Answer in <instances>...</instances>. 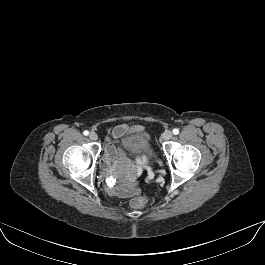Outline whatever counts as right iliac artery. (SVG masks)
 Listing matches in <instances>:
<instances>
[{
	"label": "right iliac artery",
	"mask_w": 265,
	"mask_h": 265,
	"mask_svg": "<svg viewBox=\"0 0 265 265\" xmlns=\"http://www.w3.org/2000/svg\"><path fill=\"white\" fill-rule=\"evenodd\" d=\"M83 134H84L85 136H88V135H89V131L85 130V131L83 132Z\"/></svg>",
	"instance_id": "82829eb1"
}]
</instances>
